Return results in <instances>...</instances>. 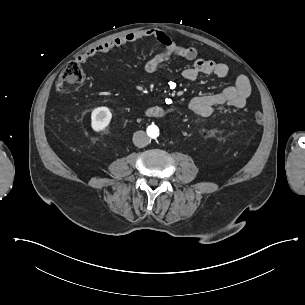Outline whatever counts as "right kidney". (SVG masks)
<instances>
[{
  "label": "right kidney",
  "mask_w": 305,
  "mask_h": 305,
  "mask_svg": "<svg viewBox=\"0 0 305 305\" xmlns=\"http://www.w3.org/2000/svg\"><path fill=\"white\" fill-rule=\"evenodd\" d=\"M112 114L107 107H99L93 110L91 119H92V128L95 131L103 130L108 126Z\"/></svg>",
  "instance_id": "1"
}]
</instances>
